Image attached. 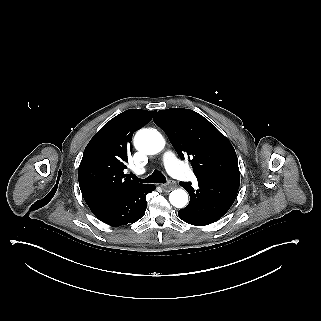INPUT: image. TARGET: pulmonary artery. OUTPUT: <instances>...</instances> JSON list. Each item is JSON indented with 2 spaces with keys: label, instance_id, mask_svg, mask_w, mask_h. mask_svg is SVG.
I'll list each match as a JSON object with an SVG mask.
<instances>
[{
  "label": "pulmonary artery",
  "instance_id": "e3ab8cb5",
  "mask_svg": "<svg viewBox=\"0 0 321 321\" xmlns=\"http://www.w3.org/2000/svg\"><path fill=\"white\" fill-rule=\"evenodd\" d=\"M164 163L168 168V171L172 173L177 180H190L194 176L192 170L187 169L185 166L181 165V162L178 160V157L176 155H167L165 157Z\"/></svg>",
  "mask_w": 321,
  "mask_h": 321
}]
</instances>
